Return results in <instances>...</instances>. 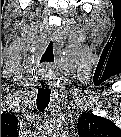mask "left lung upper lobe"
<instances>
[{
    "instance_id": "left-lung-upper-lobe-1",
    "label": "left lung upper lobe",
    "mask_w": 121,
    "mask_h": 137,
    "mask_svg": "<svg viewBox=\"0 0 121 137\" xmlns=\"http://www.w3.org/2000/svg\"><path fill=\"white\" fill-rule=\"evenodd\" d=\"M77 128L82 136L121 137V130L112 121L91 113L81 115Z\"/></svg>"
}]
</instances>
